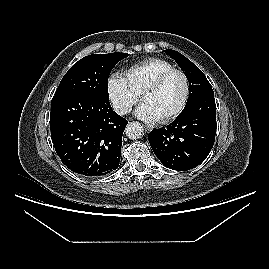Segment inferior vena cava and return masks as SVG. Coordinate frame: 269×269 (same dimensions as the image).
Listing matches in <instances>:
<instances>
[{
	"mask_svg": "<svg viewBox=\"0 0 269 269\" xmlns=\"http://www.w3.org/2000/svg\"><path fill=\"white\" fill-rule=\"evenodd\" d=\"M113 109L117 114L124 115L130 111V106L126 103L116 102L113 104Z\"/></svg>",
	"mask_w": 269,
	"mask_h": 269,
	"instance_id": "obj_1",
	"label": "inferior vena cava"
}]
</instances>
